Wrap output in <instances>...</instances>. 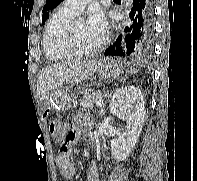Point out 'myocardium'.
<instances>
[{
    "instance_id": "obj_1",
    "label": "myocardium",
    "mask_w": 197,
    "mask_h": 181,
    "mask_svg": "<svg viewBox=\"0 0 197 181\" xmlns=\"http://www.w3.org/2000/svg\"><path fill=\"white\" fill-rule=\"evenodd\" d=\"M84 21L82 17H74L68 24L63 44L66 51L71 54L73 57L83 58V57H92L98 54L106 43V38L103 36L100 43L93 49L82 50L76 44V28L79 22Z\"/></svg>"
}]
</instances>
